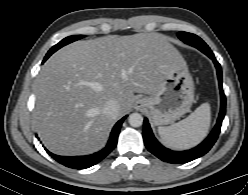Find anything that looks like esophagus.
I'll use <instances>...</instances> for the list:
<instances>
[{
    "mask_svg": "<svg viewBox=\"0 0 248 195\" xmlns=\"http://www.w3.org/2000/svg\"><path fill=\"white\" fill-rule=\"evenodd\" d=\"M143 106H144L143 100H142V99H139V100L136 101V103H135V105H134V108L137 109V110H139V109H141V107H143Z\"/></svg>",
    "mask_w": 248,
    "mask_h": 195,
    "instance_id": "1",
    "label": "esophagus"
}]
</instances>
